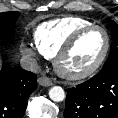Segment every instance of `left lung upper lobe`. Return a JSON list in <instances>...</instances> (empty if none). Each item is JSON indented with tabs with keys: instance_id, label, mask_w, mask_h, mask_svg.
Returning <instances> with one entry per match:
<instances>
[{
	"instance_id": "5c2ea615",
	"label": "left lung upper lobe",
	"mask_w": 118,
	"mask_h": 118,
	"mask_svg": "<svg viewBox=\"0 0 118 118\" xmlns=\"http://www.w3.org/2000/svg\"><path fill=\"white\" fill-rule=\"evenodd\" d=\"M111 34H112V44H111V51L107 61L105 62L102 70L111 68L113 66L118 65V25L112 21L111 22Z\"/></svg>"
}]
</instances>
